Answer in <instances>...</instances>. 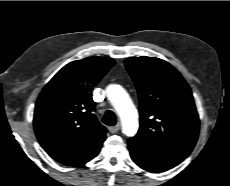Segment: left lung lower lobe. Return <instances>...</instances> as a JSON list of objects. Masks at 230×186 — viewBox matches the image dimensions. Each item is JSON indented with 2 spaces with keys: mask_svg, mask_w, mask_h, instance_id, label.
Instances as JSON below:
<instances>
[{
  "mask_svg": "<svg viewBox=\"0 0 230 186\" xmlns=\"http://www.w3.org/2000/svg\"><path fill=\"white\" fill-rule=\"evenodd\" d=\"M132 160L142 169L156 173L166 171L178 165L186 157L151 149L134 140H128Z\"/></svg>",
  "mask_w": 230,
  "mask_h": 186,
  "instance_id": "1",
  "label": "left lung lower lobe"
}]
</instances>
